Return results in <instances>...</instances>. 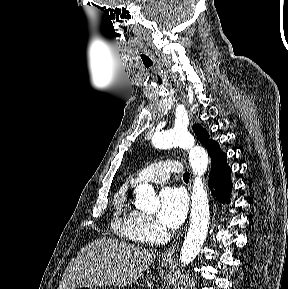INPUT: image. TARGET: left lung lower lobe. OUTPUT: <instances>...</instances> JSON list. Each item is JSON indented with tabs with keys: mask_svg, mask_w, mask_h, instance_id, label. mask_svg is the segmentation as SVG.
<instances>
[{
	"mask_svg": "<svg viewBox=\"0 0 288 289\" xmlns=\"http://www.w3.org/2000/svg\"><path fill=\"white\" fill-rule=\"evenodd\" d=\"M211 157V173L209 186L212 195L219 202L228 203L232 190V182L230 178L231 169L227 164V155L220 149V146L215 142L209 149ZM213 188H215L216 193Z\"/></svg>",
	"mask_w": 288,
	"mask_h": 289,
	"instance_id": "left-lung-lower-lobe-1",
	"label": "left lung lower lobe"
}]
</instances>
